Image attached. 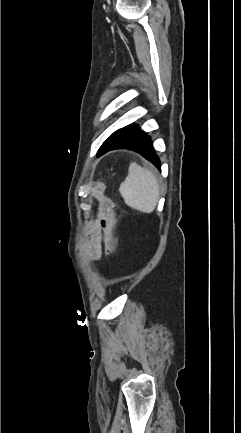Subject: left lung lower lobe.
<instances>
[{"label": "left lung lower lobe", "instance_id": "obj_1", "mask_svg": "<svg viewBox=\"0 0 241 433\" xmlns=\"http://www.w3.org/2000/svg\"><path fill=\"white\" fill-rule=\"evenodd\" d=\"M121 148L135 150L136 152L144 156L147 160H149L151 163H153L159 170L161 169V163L158 156L154 152L150 136L145 135L142 138H139L127 145L118 147L116 149H121ZM98 156L100 155L98 154Z\"/></svg>", "mask_w": 241, "mask_h": 433}]
</instances>
